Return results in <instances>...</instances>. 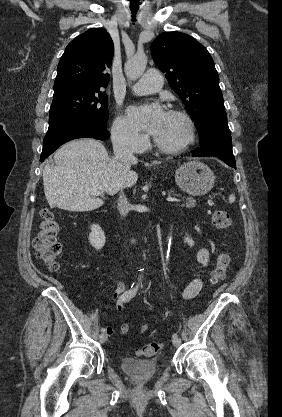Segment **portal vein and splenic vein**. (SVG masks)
<instances>
[{
  "instance_id": "18ae733b",
  "label": "portal vein and splenic vein",
  "mask_w": 282,
  "mask_h": 417,
  "mask_svg": "<svg viewBox=\"0 0 282 417\" xmlns=\"http://www.w3.org/2000/svg\"><path fill=\"white\" fill-rule=\"evenodd\" d=\"M93 194H97V196H99V194H103V192H101V190H94ZM167 200H169L171 203H175L177 202L178 198H171V196H169Z\"/></svg>"
}]
</instances>
